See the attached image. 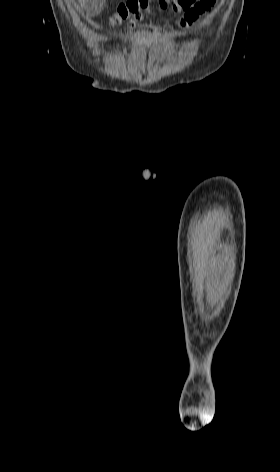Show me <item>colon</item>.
Returning a JSON list of instances; mask_svg holds the SVG:
<instances>
[{"label": "colon", "instance_id": "colon-1", "mask_svg": "<svg viewBox=\"0 0 280 472\" xmlns=\"http://www.w3.org/2000/svg\"><path fill=\"white\" fill-rule=\"evenodd\" d=\"M181 0H126L120 3L110 17L112 25L126 24L130 27L139 23L145 15L155 9L174 8Z\"/></svg>", "mask_w": 280, "mask_h": 472}]
</instances>
